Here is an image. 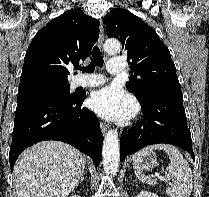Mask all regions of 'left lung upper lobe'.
Here are the masks:
<instances>
[{
  "label": "left lung upper lobe",
  "instance_id": "5c2ea615",
  "mask_svg": "<svg viewBox=\"0 0 209 197\" xmlns=\"http://www.w3.org/2000/svg\"><path fill=\"white\" fill-rule=\"evenodd\" d=\"M108 37L121 40L132 75L126 83L138 101L162 93L182 94L170 51L157 33L125 9H113L105 17Z\"/></svg>",
  "mask_w": 209,
  "mask_h": 197
}]
</instances>
